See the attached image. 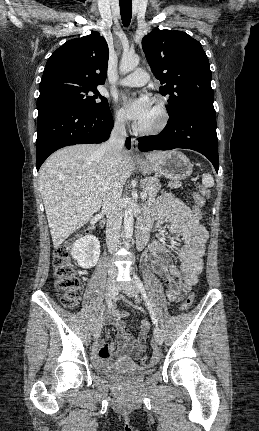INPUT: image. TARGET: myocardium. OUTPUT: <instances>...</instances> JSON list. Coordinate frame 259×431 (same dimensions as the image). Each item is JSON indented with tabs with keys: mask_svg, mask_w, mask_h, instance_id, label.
I'll list each match as a JSON object with an SVG mask.
<instances>
[{
	"mask_svg": "<svg viewBox=\"0 0 259 431\" xmlns=\"http://www.w3.org/2000/svg\"><path fill=\"white\" fill-rule=\"evenodd\" d=\"M153 103L155 104L157 111L159 113L158 123L151 128H142L139 125L135 127V131L140 135L152 136L160 134L165 130L169 123V111L165 100L161 96H155L153 98Z\"/></svg>",
	"mask_w": 259,
	"mask_h": 431,
	"instance_id": "obj_1",
	"label": "myocardium"
}]
</instances>
